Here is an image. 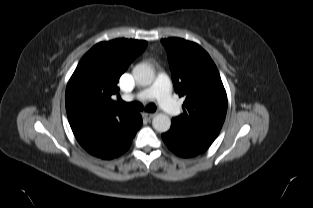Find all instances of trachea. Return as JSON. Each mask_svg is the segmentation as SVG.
I'll use <instances>...</instances> for the list:
<instances>
[{
    "label": "trachea",
    "instance_id": "obj_1",
    "mask_svg": "<svg viewBox=\"0 0 313 208\" xmlns=\"http://www.w3.org/2000/svg\"><path fill=\"white\" fill-rule=\"evenodd\" d=\"M119 104H122L124 105L125 107L127 108H130V109H134V110H143L144 107L141 105V103L139 102H130V103H126L124 101H122L121 99L119 100ZM145 110L147 112H155L156 111V106L154 104H148L146 107H145Z\"/></svg>",
    "mask_w": 313,
    "mask_h": 208
}]
</instances>
